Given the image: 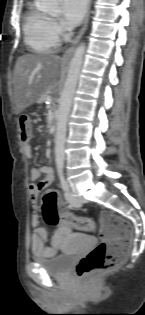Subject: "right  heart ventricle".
I'll return each instance as SVG.
<instances>
[{
  "label": "right heart ventricle",
  "mask_w": 145,
  "mask_h": 315,
  "mask_svg": "<svg viewBox=\"0 0 145 315\" xmlns=\"http://www.w3.org/2000/svg\"><path fill=\"white\" fill-rule=\"evenodd\" d=\"M23 33L28 49L36 54L50 53L59 44L52 20L38 9L36 2H32L26 12Z\"/></svg>",
  "instance_id": "obj_1"
}]
</instances>
